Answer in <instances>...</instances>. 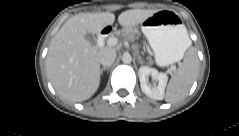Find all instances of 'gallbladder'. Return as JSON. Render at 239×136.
<instances>
[{"instance_id":"gallbladder-1","label":"gallbladder","mask_w":239,"mask_h":136,"mask_svg":"<svg viewBox=\"0 0 239 136\" xmlns=\"http://www.w3.org/2000/svg\"><path fill=\"white\" fill-rule=\"evenodd\" d=\"M85 39H86L87 41H89L92 45H95L96 42H97V39H96L95 35H93V34H91V33H87V34L85 35Z\"/></svg>"}]
</instances>
